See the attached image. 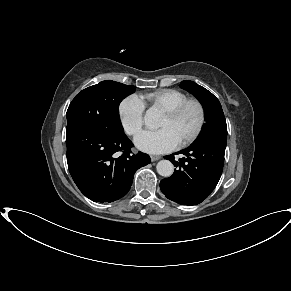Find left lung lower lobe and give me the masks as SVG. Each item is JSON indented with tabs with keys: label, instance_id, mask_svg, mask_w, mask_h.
I'll return each instance as SVG.
<instances>
[{
	"label": "left lung lower lobe",
	"instance_id": "obj_1",
	"mask_svg": "<svg viewBox=\"0 0 291 291\" xmlns=\"http://www.w3.org/2000/svg\"><path fill=\"white\" fill-rule=\"evenodd\" d=\"M226 140L203 139L178 152L186 157L174 160V153L165 156L177 167L171 177L161 180L160 189L170 200L182 205H196L216 187L223 170Z\"/></svg>",
	"mask_w": 291,
	"mask_h": 291
}]
</instances>
